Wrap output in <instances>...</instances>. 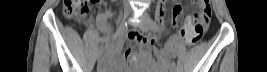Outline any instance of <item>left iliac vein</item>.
Returning <instances> with one entry per match:
<instances>
[{
    "instance_id": "left-iliac-vein-1",
    "label": "left iliac vein",
    "mask_w": 267,
    "mask_h": 72,
    "mask_svg": "<svg viewBox=\"0 0 267 72\" xmlns=\"http://www.w3.org/2000/svg\"><path fill=\"white\" fill-rule=\"evenodd\" d=\"M152 19L150 18L149 14L145 12L142 16V23H141V30L143 32H147L150 28ZM175 68H170V72H175Z\"/></svg>"
}]
</instances>
